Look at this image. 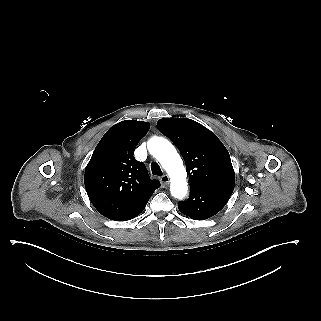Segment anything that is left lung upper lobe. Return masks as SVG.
<instances>
[{
	"label": "left lung upper lobe",
	"instance_id": "1",
	"mask_svg": "<svg viewBox=\"0 0 321 321\" xmlns=\"http://www.w3.org/2000/svg\"><path fill=\"white\" fill-rule=\"evenodd\" d=\"M157 128L180 150L190 187L234 185L235 174L223 143L203 125L186 118L160 119Z\"/></svg>",
	"mask_w": 321,
	"mask_h": 321
}]
</instances>
